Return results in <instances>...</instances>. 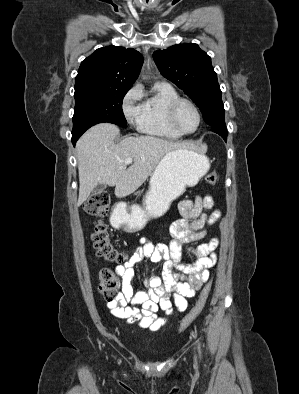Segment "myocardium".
I'll use <instances>...</instances> for the list:
<instances>
[{
  "instance_id": "f54148a6",
  "label": "myocardium",
  "mask_w": 299,
  "mask_h": 394,
  "mask_svg": "<svg viewBox=\"0 0 299 394\" xmlns=\"http://www.w3.org/2000/svg\"><path fill=\"white\" fill-rule=\"evenodd\" d=\"M182 104H188L190 105L194 111L197 114L198 117V124L197 127L193 130V131H184L183 129L180 128V126L178 125L177 122V113H178V109L180 108V106ZM167 119H168V123L170 125V127L176 131L177 133L181 134V135H190L193 134L195 132H197L202 124V114L200 109L198 108V106L191 101L190 99L187 98H182L179 97L176 100H174L168 107L167 109Z\"/></svg>"
}]
</instances>
